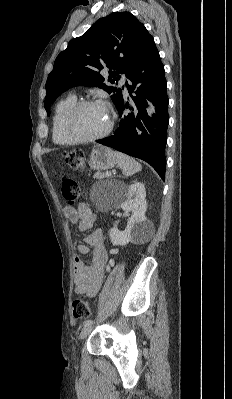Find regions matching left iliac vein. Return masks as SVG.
Listing matches in <instances>:
<instances>
[{
  "instance_id": "1",
  "label": "left iliac vein",
  "mask_w": 232,
  "mask_h": 399,
  "mask_svg": "<svg viewBox=\"0 0 232 399\" xmlns=\"http://www.w3.org/2000/svg\"><path fill=\"white\" fill-rule=\"evenodd\" d=\"M89 333H93V328H90V326L87 325V328L83 329L82 332L79 333V339L85 340L86 336L89 335Z\"/></svg>"
}]
</instances>
